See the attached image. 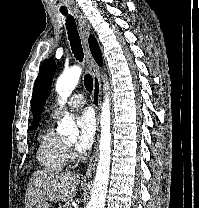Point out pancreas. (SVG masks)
<instances>
[{
	"label": "pancreas",
	"mask_w": 199,
	"mask_h": 208,
	"mask_svg": "<svg viewBox=\"0 0 199 208\" xmlns=\"http://www.w3.org/2000/svg\"><path fill=\"white\" fill-rule=\"evenodd\" d=\"M58 208H72L70 203H64L63 205H60Z\"/></svg>",
	"instance_id": "cf45deb5"
}]
</instances>
